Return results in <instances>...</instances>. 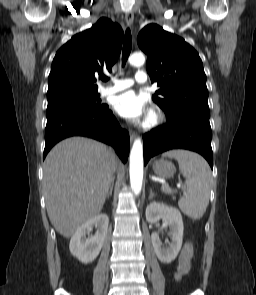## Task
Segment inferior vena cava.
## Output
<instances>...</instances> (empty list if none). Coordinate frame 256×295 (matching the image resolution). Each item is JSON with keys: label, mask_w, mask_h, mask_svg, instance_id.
I'll use <instances>...</instances> for the list:
<instances>
[{"label": "inferior vena cava", "mask_w": 256, "mask_h": 295, "mask_svg": "<svg viewBox=\"0 0 256 295\" xmlns=\"http://www.w3.org/2000/svg\"><path fill=\"white\" fill-rule=\"evenodd\" d=\"M114 167H121L120 159H115Z\"/></svg>", "instance_id": "obj_1"}]
</instances>
